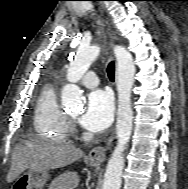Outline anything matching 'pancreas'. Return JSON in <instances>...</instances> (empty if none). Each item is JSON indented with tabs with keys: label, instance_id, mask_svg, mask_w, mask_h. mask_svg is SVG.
<instances>
[{
	"label": "pancreas",
	"instance_id": "pancreas-1",
	"mask_svg": "<svg viewBox=\"0 0 188 189\" xmlns=\"http://www.w3.org/2000/svg\"><path fill=\"white\" fill-rule=\"evenodd\" d=\"M60 180H61V176L58 177L57 179H55L52 184L50 185L49 189H57L60 187Z\"/></svg>",
	"mask_w": 188,
	"mask_h": 189
}]
</instances>
